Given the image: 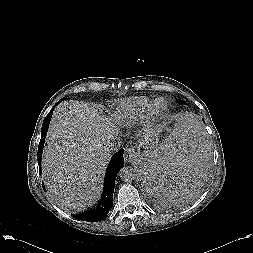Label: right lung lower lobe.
Returning <instances> with one entry per match:
<instances>
[{"label": "right lung lower lobe", "mask_w": 253, "mask_h": 253, "mask_svg": "<svg viewBox=\"0 0 253 253\" xmlns=\"http://www.w3.org/2000/svg\"><path fill=\"white\" fill-rule=\"evenodd\" d=\"M62 100L58 101L56 105H58ZM55 105V106H56ZM55 106L51 109L48 115L45 117L42 129H41V140L38 146V154L37 160L39 164V172L41 174V157H42V150L44 146V141L46 138L47 130L49 127V123L51 120V116L53 114V110ZM124 149H120L117 153L112 156V159L106 169V174L104 178V189L99 200L98 204L90 210L84 211L80 214L72 215V217L89 222H96L103 220L108 216V212L112 207L113 204V193L115 187V179L117 176L118 171L124 165V158H123ZM43 189L45 190L44 186Z\"/></svg>", "instance_id": "right-lung-lower-lobe-1"}]
</instances>
